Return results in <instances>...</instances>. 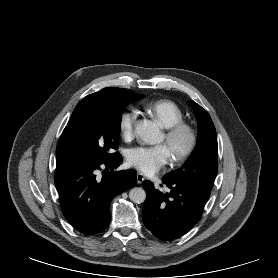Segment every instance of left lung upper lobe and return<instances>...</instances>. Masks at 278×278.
<instances>
[{
    "mask_svg": "<svg viewBox=\"0 0 278 278\" xmlns=\"http://www.w3.org/2000/svg\"><path fill=\"white\" fill-rule=\"evenodd\" d=\"M199 127L195 150L184 165L165 176L176 182L190 183L212 189L218 171V144L211 117L194 101H189Z\"/></svg>",
    "mask_w": 278,
    "mask_h": 278,
    "instance_id": "1",
    "label": "left lung upper lobe"
}]
</instances>
